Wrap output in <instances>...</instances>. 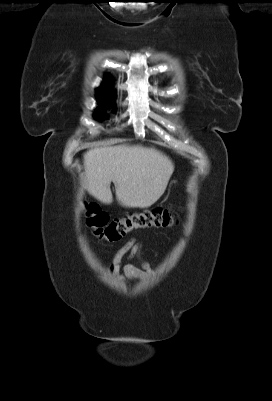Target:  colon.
I'll list each match as a JSON object with an SVG mask.
<instances>
[{
    "mask_svg": "<svg viewBox=\"0 0 272 401\" xmlns=\"http://www.w3.org/2000/svg\"><path fill=\"white\" fill-rule=\"evenodd\" d=\"M173 212L160 207L110 218L95 203L87 205L86 221L94 235L102 240L117 241L129 233L145 228H166L174 225Z\"/></svg>",
    "mask_w": 272,
    "mask_h": 401,
    "instance_id": "colon-1",
    "label": "colon"
}]
</instances>
